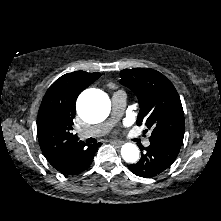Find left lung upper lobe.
I'll return each instance as SVG.
<instances>
[{
	"instance_id": "obj_1",
	"label": "left lung upper lobe",
	"mask_w": 221,
	"mask_h": 221,
	"mask_svg": "<svg viewBox=\"0 0 221 221\" xmlns=\"http://www.w3.org/2000/svg\"><path fill=\"white\" fill-rule=\"evenodd\" d=\"M120 83L137 95L140 112L137 125L151 129L149 140L182 145L185 120L180 97L173 84L153 69L134 68L120 72ZM147 131V130H146Z\"/></svg>"
}]
</instances>
